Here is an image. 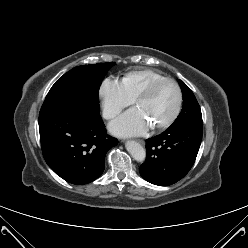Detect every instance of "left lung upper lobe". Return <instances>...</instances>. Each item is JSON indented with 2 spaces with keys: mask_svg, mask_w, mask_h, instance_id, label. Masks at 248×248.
Instances as JSON below:
<instances>
[{
  "mask_svg": "<svg viewBox=\"0 0 248 248\" xmlns=\"http://www.w3.org/2000/svg\"><path fill=\"white\" fill-rule=\"evenodd\" d=\"M179 84L183 93V108L170 127L189 124H202V114L199 104L190 88L181 80Z\"/></svg>",
  "mask_w": 248,
  "mask_h": 248,
  "instance_id": "obj_1",
  "label": "left lung upper lobe"
}]
</instances>
